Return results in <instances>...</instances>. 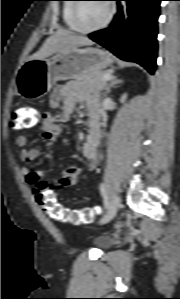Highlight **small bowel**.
<instances>
[{"label": "small bowel", "instance_id": "obj_1", "mask_svg": "<svg viewBox=\"0 0 180 299\" xmlns=\"http://www.w3.org/2000/svg\"><path fill=\"white\" fill-rule=\"evenodd\" d=\"M80 103L85 104L89 108L88 131L82 144L81 153L87 160V169L92 171L98 165V147L101 139L99 108L94 93L84 89L77 82H70L55 88L50 97V104L56 112L47 111L43 115L40 130L45 140H56L61 134L59 122L68 119ZM28 140V135L22 134L17 137L16 144L24 148ZM39 153L38 147L24 148L21 152V159L24 163L29 164L37 159ZM83 169V166L73 165L66 168L59 177L50 178L42 171H31L24 167L23 174L26 182L34 186L41 182H53L58 188H66L78 181Z\"/></svg>", "mask_w": 180, "mask_h": 299}]
</instances>
